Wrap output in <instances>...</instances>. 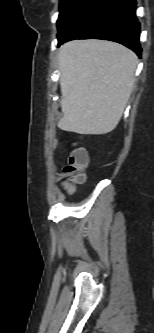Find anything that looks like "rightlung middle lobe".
<instances>
[{
    "label": "right lung middle lobe",
    "instance_id": "1",
    "mask_svg": "<svg viewBox=\"0 0 154 333\" xmlns=\"http://www.w3.org/2000/svg\"><path fill=\"white\" fill-rule=\"evenodd\" d=\"M99 2L100 0H60L58 42L79 26Z\"/></svg>",
    "mask_w": 154,
    "mask_h": 333
}]
</instances>
